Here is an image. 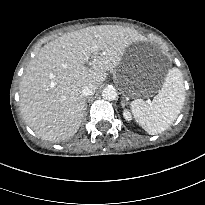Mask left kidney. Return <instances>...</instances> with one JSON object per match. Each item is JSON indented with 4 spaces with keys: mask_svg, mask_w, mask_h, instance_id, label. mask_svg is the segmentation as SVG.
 <instances>
[{
    "mask_svg": "<svg viewBox=\"0 0 205 205\" xmlns=\"http://www.w3.org/2000/svg\"><path fill=\"white\" fill-rule=\"evenodd\" d=\"M123 116H124V118H125L127 121H131V120H132L131 113H130L127 109H124V111H123Z\"/></svg>",
    "mask_w": 205,
    "mask_h": 205,
    "instance_id": "1",
    "label": "left kidney"
}]
</instances>
